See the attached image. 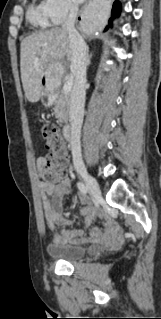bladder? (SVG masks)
<instances>
[{"instance_id":"obj_1","label":"bladder","mask_w":161,"mask_h":319,"mask_svg":"<svg viewBox=\"0 0 161 319\" xmlns=\"http://www.w3.org/2000/svg\"><path fill=\"white\" fill-rule=\"evenodd\" d=\"M49 257L56 260L74 261L84 256L85 250L81 245L54 241L46 247Z\"/></svg>"}]
</instances>
